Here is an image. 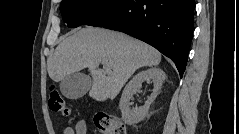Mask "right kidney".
Wrapping results in <instances>:
<instances>
[{"mask_svg": "<svg viewBox=\"0 0 239 134\" xmlns=\"http://www.w3.org/2000/svg\"><path fill=\"white\" fill-rule=\"evenodd\" d=\"M165 77L163 70L153 67L136 74L125 86L119 106L122 113V119L126 124H136L147 116L150 104L157 97ZM146 80H152L154 86L150 97L143 106L131 109L130 100L133 98V95L141 89L142 83Z\"/></svg>", "mask_w": 239, "mask_h": 134, "instance_id": "right-kidney-1", "label": "right kidney"}]
</instances>
